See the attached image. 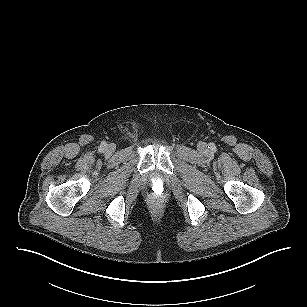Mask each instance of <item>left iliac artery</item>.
<instances>
[{
  "mask_svg": "<svg viewBox=\"0 0 307 307\" xmlns=\"http://www.w3.org/2000/svg\"><path fill=\"white\" fill-rule=\"evenodd\" d=\"M209 145H210V147L208 146V148H210L211 150H215L216 149L215 145L213 143H210Z\"/></svg>",
  "mask_w": 307,
  "mask_h": 307,
  "instance_id": "obj_1",
  "label": "left iliac artery"
}]
</instances>
